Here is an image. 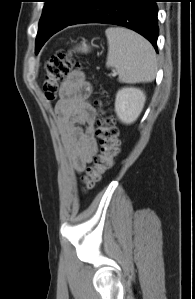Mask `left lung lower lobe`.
Wrapping results in <instances>:
<instances>
[{"label": "left lung lower lobe", "mask_w": 195, "mask_h": 299, "mask_svg": "<svg viewBox=\"0 0 195 299\" xmlns=\"http://www.w3.org/2000/svg\"><path fill=\"white\" fill-rule=\"evenodd\" d=\"M156 2L158 0H89L70 25L104 23L124 26L148 39L157 51L159 29Z\"/></svg>", "instance_id": "obj_1"}]
</instances>
